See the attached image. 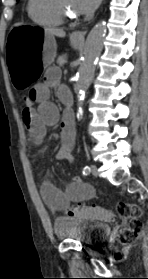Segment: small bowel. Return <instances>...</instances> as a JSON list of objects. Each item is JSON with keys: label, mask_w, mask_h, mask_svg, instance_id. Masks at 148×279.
<instances>
[{"label": "small bowel", "mask_w": 148, "mask_h": 279, "mask_svg": "<svg viewBox=\"0 0 148 279\" xmlns=\"http://www.w3.org/2000/svg\"><path fill=\"white\" fill-rule=\"evenodd\" d=\"M60 70L56 67L48 69L42 83L36 84L29 91L37 108L33 104L24 106L22 118L32 138L40 142L49 127L55 126L61 121L62 145L56 153V159L73 161L72 144L74 136L73 114L71 110L65 109L62 116L58 107L50 99V89L56 88L57 97L65 103L70 99L69 90L59 86ZM41 195L44 202L51 210L61 211L66 209L71 202L84 201L93 196V189L79 177H73L64 191L58 189L50 182L41 186Z\"/></svg>", "instance_id": "obj_1"}]
</instances>
